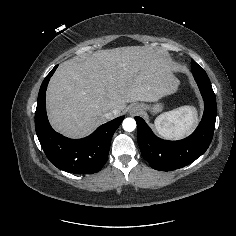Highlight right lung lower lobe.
Segmentation results:
<instances>
[{
	"mask_svg": "<svg viewBox=\"0 0 236 236\" xmlns=\"http://www.w3.org/2000/svg\"><path fill=\"white\" fill-rule=\"evenodd\" d=\"M56 65L43 80L35 112V130L41 147L50 162L57 168L74 174H93L107 162L112 136L124 116L98 127L83 139H69L55 132L46 115V89Z\"/></svg>",
	"mask_w": 236,
	"mask_h": 236,
	"instance_id": "1",
	"label": "right lung lower lobe"
}]
</instances>
